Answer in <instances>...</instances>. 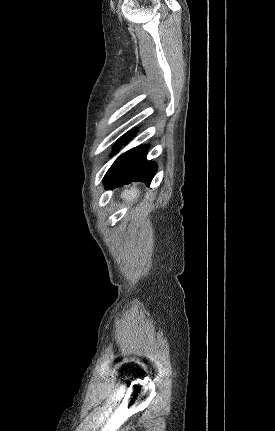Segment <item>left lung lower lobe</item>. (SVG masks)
<instances>
[{
    "instance_id": "1",
    "label": "left lung lower lobe",
    "mask_w": 275,
    "mask_h": 431,
    "mask_svg": "<svg viewBox=\"0 0 275 431\" xmlns=\"http://www.w3.org/2000/svg\"><path fill=\"white\" fill-rule=\"evenodd\" d=\"M148 146H139L120 155L107 171L103 184L114 189L131 182H145L149 185L157 171L155 162L146 159Z\"/></svg>"
}]
</instances>
